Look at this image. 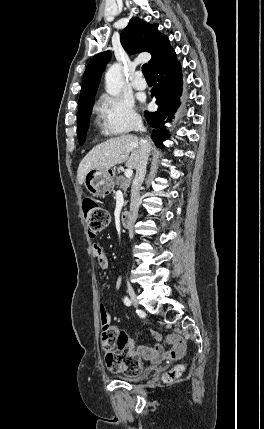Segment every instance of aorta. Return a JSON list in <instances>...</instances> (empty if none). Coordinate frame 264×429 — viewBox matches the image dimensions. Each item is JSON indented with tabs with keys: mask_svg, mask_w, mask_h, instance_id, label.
Masks as SVG:
<instances>
[{
	"mask_svg": "<svg viewBox=\"0 0 264 429\" xmlns=\"http://www.w3.org/2000/svg\"><path fill=\"white\" fill-rule=\"evenodd\" d=\"M123 87V79L121 74V66L113 64L105 74V89L112 96L120 94Z\"/></svg>",
	"mask_w": 264,
	"mask_h": 429,
	"instance_id": "762f6f07",
	"label": "aorta"
}]
</instances>
